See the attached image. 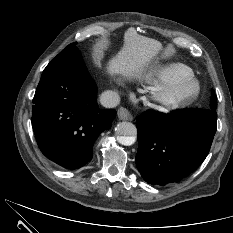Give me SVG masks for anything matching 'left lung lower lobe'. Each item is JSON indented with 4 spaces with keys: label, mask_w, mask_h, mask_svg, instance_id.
I'll return each instance as SVG.
<instances>
[{
    "label": "left lung lower lobe",
    "mask_w": 233,
    "mask_h": 233,
    "mask_svg": "<svg viewBox=\"0 0 233 233\" xmlns=\"http://www.w3.org/2000/svg\"><path fill=\"white\" fill-rule=\"evenodd\" d=\"M136 125V166L146 182L164 186L180 181L205 160L217 129V113L194 108L168 114L145 111Z\"/></svg>",
    "instance_id": "1"
}]
</instances>
